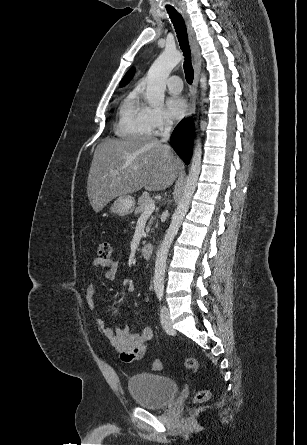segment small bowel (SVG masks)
I'll return each instance as SVG.
<instances>
[{
  "label": "small bowel",
  "instance_id": "1",
  "mask_svg": "<svg viewBox=\"0 0 307 445\" xmlns=\"http://www.w3.org/2000/svg\"><path fill=\"white\" fill-rule=\"evenodd\" d=\"M91 264L93 267L104 268L106 271L105 275L110 280L115 278L120 266L118 260L100 258L93 259ZM96 293V287L93 284H89L85 291V300L91 309L94 308ZM96 324L112 347L120 353L122 361L127 363L143 358L147 350V344L153 337L150 327L144 328L141 333H131L126 326L118 328L108 327L101 318L96 319Z\"/></svg>",
  "mask_w": 307,
  "mask_h": 445
}]
</instances>
